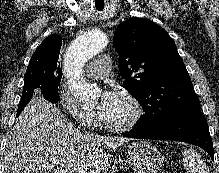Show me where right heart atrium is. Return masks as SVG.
Here are the masks:
<instances>
[{"instance_id": "1", "label": "right heart atrium", "mask_w": 219, "mask_h": 173, "mask_svg": "<svg viewBox=\"0 0 219 173\" xmlns=\"http://www.w3.org/2000/svg\"><path fill=\"white\" fill-rule=\"evenodd\" d=\"M60 105L83 126L93 127L97 122L96 114L93 110L85 107L73 94L65 91L59 92Z\"/></svg>"}]
</instances>
